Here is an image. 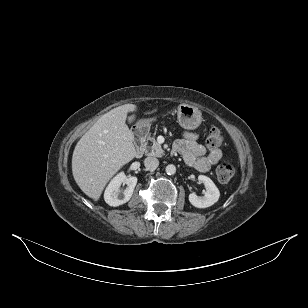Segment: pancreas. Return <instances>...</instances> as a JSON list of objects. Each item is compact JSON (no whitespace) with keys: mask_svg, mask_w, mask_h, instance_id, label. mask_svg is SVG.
Instances as JSON below:
<instances>
[{"mask_svg":"<svg viewBox=\"0 0 308 308\" xmlns=\"http://www.w3.org/2000/svg\"><path fill=\"white\" fill-rule=\"evenodd\" d=\"M149 142L151 143L150 145ZM145 145L147 155L156 157H162L164 155V151L161 145L156 141L155 135H147Z\"/></svg>","mask_w":308,"mask_h":308,"instance_id":"cf45deb5","label":"pancreas"}]
</instances>
